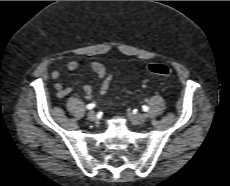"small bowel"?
<instances>
[{
    "instance_id": "c3829d8e",
    "label": "small bowel",
    "mask_w": 230,
    "mask_h": 186,
    "mask_svg": "<svg viewBox=\"0 0 230 186\" xmlns=\"http://www.w3.org/2000/svg\"><path fill=\"white\" fill-rule=\"evenodd\" d=\"M66 67H67L68 71H75V70L79 69L80 63L78 61L72 60V61H69L67 63ZM90 67H91L92 71L96 74L98 80L102 82L100 92L102 94L105 93L107 88H108V84H109V80H110L109 76L107 75V71H106L105 66L98 61H93V62H91ZM60 76H61V72L59 70H54L51 73V77L54 80L59 79ZM54 88H55L56 94L59 98H63L73 91V89L71 87H65L60 82H56L54 84ZM82 93H83V97L85 99H88V100L92 99L93 94H94L93 86L85 85L82 89Z\"/></svg>"
}]
</instances>
